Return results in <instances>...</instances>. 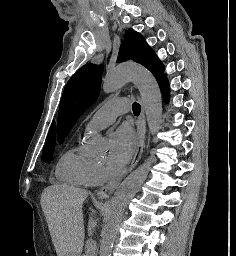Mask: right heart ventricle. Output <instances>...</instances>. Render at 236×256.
<instances>
[{
    "label": "right heart ventricle",
    "mask_w": 236,
    "mask_h": 256,
    "mask_svg": "<svg viewBox=\"0 0 236 256\" xmlns=\"http://www.w3.org/2000/svg\"><path fill=\"white\" fill-rule=\"evenodd\" d=\"M92 163L72 150L61 156L56 165V178L65 184L87 186L86 180Z\"/></svg>",
    "instance_id": "1"
}]
</instances>
